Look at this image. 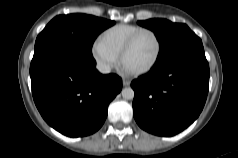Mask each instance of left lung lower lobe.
I'll use <instances>...</instances> for the list:
<instances>
[{"instance_id":"0a47b994","label":"left lung lower lobe","mask_w":238,"mask_h":158,"mask_svg":"<svg viewBox=\"0 0 238 158\" xmlns=\"http://www.w3.org/2000/svg\"><path fill=\"white\" fill-rule=\"evenodd\" d=\"M209 74L202 43L185 47L156 63L149 73L131 83L137 124L159 136L183 131L204 107Z\"/></svg>"}]
</instances>
